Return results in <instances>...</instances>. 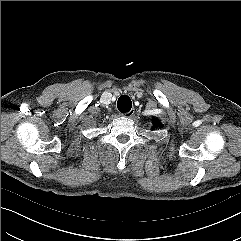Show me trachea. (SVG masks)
I'll list each match as a JSON object with an SVG mask.
<instances>
[{
    "label": "trachea",
    "mask_w": 241,
    "mask_h": 241,
    "mask_svg": "<svg viewBox=\"0 0 241 241\" xmlns=\"http://www.w3.org/2000/svg\"><path fill=\"white\" fill-rule=\"evenodd\" d=\"M117 107L118 110L122 113L130 111L132 108L131 99L127 95L120 96L117 102Z\"/></svg>",
    "instance_id": "3493384b"
}]
</instances>
